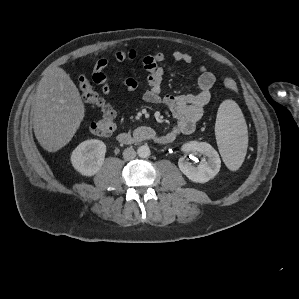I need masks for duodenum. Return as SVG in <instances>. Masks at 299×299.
<instances>
[{"mask_svg": "<svg viewBox=\"0 0 299 299\" xmlns=\"http://www.w3.org/2000/svg\"><path fill=\"white\" fill-rule=\"evenodd\" d=\"M118 140L124 144H132L147 140L161 142V137L158 136L151 127L142 126L134 129L133 131L120 133L118 135Z\"/></svg>", "mask_w": 299, "mask_h": 299, "instance_id": "duodenum-1", "label": "duodenum"}]
</instances>
